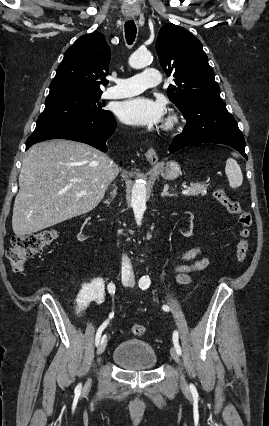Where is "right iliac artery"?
Listing matches in <instances>:
<instances>
[{
    "label": "right iliac artery",
    "mask_w": 269,
    "mask_h": 426,
    "mask_svg": "<svg viewBox=\"0 0 269 426\" xmlns=\"http://www.w3.org/2000/svg\"><path fill=\"white\" fill-rule=\"evenodd\" d=\"M107 289H108V292L110 293V294H112V295H114L115 294V289H116V287H115V285L113 284V283H110L109 285H108V287H107ZM113 315H114V313H110V315H109V318H112L113 317ZM108 323H109V320H106L99 328H98V330H97V333H96V336H95V345L96 346H98L99 345V342H100V338H101V334H102V332H103V330L106 328V326L108 325ZM81 387H82V385H81V383L80 384H78L77 386H76V388H75V392L76 393H80L81 392Z\"/></svg>",
    "instance_id": "82829eb1"
}]
</instances>
